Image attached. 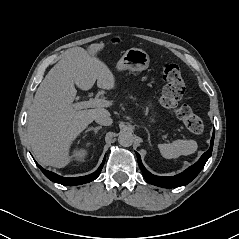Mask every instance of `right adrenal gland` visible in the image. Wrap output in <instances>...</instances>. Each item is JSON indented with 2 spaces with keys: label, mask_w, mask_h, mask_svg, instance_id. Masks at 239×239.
Here are the masks:
<instances>
[{
  "label": "right adrenal gland",
  "mask_w": 239,
  "mask_h": 239,
  "mask_svg": "<svg viewBox=\"0 0 239 239\" xmlns=\"http://www.w3.org/2000/svg\"><path fill=\"white\" fill-rule=\"evenodd\" d=\"M102 128V126H97V127H90L86 130V132H89V131H94L95 135L97 134V132Z\"/></svg>",
  "instance_id": "1"
}]
</instances>
